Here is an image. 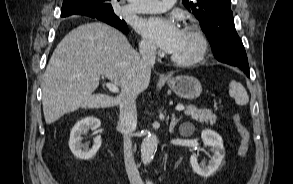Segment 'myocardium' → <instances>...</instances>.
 I'll return each mask as SVG.
<instances>
[{"label": "myocardium", "mask_w": 293, "mask_h": 184, "mask_svg": "<svg viewBox=\"0 0 293 184\" xmlns=\"http://www.w3.org/2000/svg\"><path fill=\"white\" fill-rule=\"evenodd\" d=\"M184 31L191 32L193 33L196 38L198 39L199 42V48L196 54L190 58H177L173 55H171L170 59L177 65L180 66H191L199 63L202 61L206 54L208 53L209 47H210V42L209 38L204 32V30L196 24H189L185 26Z\"/></svg>", "instance_id": "obj_1"}]
</instances>
